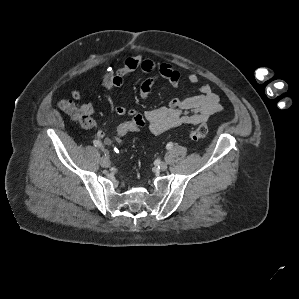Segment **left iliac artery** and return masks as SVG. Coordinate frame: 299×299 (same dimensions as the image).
<instances>
[{
    "label": "left iliac artery",
    "instance_id": "obj_1",
    "mask_svg": "<svg viewBox=\"0 0 299 299\" xmlns=\"http://www.w3.org/2000/svg\"><path fill=\"white\" fill-rule=\"evenodd\" d=\"M172 147H173V143H172V142H169V143L166 145V148H167L168 150L172 149Z\"/></svg>",
    "mask_w": 299,
    "mask_h": 299
}]
</instances>
